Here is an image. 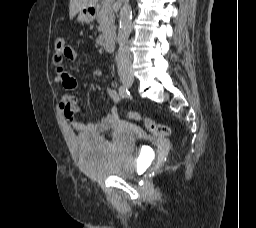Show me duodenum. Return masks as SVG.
Masks as SVG:
<instances>
[{
	"instance_id": "410a0bca",
	"label": "duodenum",
	"mask_w": 256,
	"mask_h": 228,
	"mask_svg": "<svg viewBox=\"0 0 256 228\" xmlns=\"http://www.w3.org/2000/svg\"><path fill=\"white\" fill-rule=\"evenodd\" d=\"M88 11L91 16H95L97 8L96 6H91ZM99 43L106 51H112L114 49L115 37L112 33H105L100 36Z\"/></svg>"
}]
</instances>
